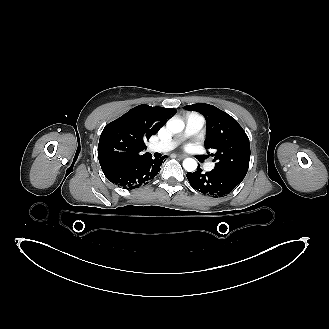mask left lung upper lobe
<instances>
[{"label": "left lung upper lobe", "instance_id": "left-lung-upper-lobe-1", "mask_svg": "<svg viewBox=\"0 0 329 329\" xmlns=\"http://www.w3.org/2000/svg\"><path fill=\"white\" fill-rule=\"evenodd\" d=\"M197 111L206 119V149H214V170L242 181L250 161L249 139L239 123L226 112L205 103L184 107Z\"/></svg>", "mask_w": 329, "mask_h": 329}]
</instances>
